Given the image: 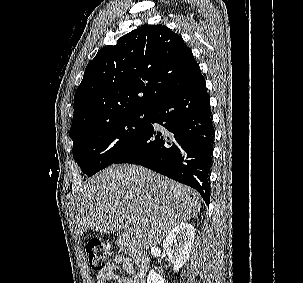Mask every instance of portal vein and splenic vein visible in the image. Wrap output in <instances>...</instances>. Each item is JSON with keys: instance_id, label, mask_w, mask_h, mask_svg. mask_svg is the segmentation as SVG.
Wrapping results in <instances>:
<instances>
[{"instance_id": "18ae733b", "label": "portal vein and splenic vein", "mask_w": 303, "mask_h": 283, "mask_svg": "<svg viewBox=\"0 0 303 283\" xmlns=\"http://www.w3.org/2000/svg\"><path fill=\"white\" fill-rule=\"evenodd\" d=\"M125 221H126V223H130L131 222V218L130 217H126Z\"/></svg>"}]
</instances>
